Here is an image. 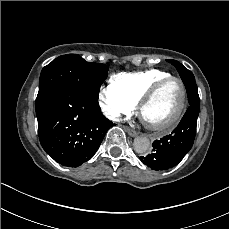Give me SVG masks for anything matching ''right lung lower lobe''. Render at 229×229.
Wrapping results in <instances>:
<instances>
[{
    "label": "right lung lower lobe",
    "instance_id": "98d812e1",
    "mask_svg": "<svg viewBox=\"0 0 229 229\" xmlns=\"http://www.w3.org/2000/svg\"><path fill=\"white\" fill-rule=\"evenodd\" d=\"M35 109L43 149L64 166L77 167L91 159L114 125L102 115L98 96L75 86L51 91Z\"/></svg>",
    "mask_w": 229,
    "mask_h": 229
}]
</instances>
